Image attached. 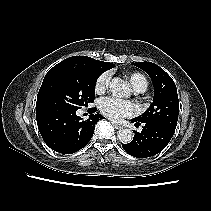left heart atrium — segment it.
<instances>
[{"instance_id": "39dd6f15", "label": "left heart atrium", "mask_w": 211, "mask_h": 211, "mask_svg": "<svg viewBox=\"0 0 211 211\" xmlns=\"http://www.w3.org/2000/svg\"><path fill=\"white\" fill-rule=\"evenodd\" d=\"M99 109L104 116L113 121H120L137 113V106L133 102L113 97L101 99Z\"/></svg>"}]
</instances>
